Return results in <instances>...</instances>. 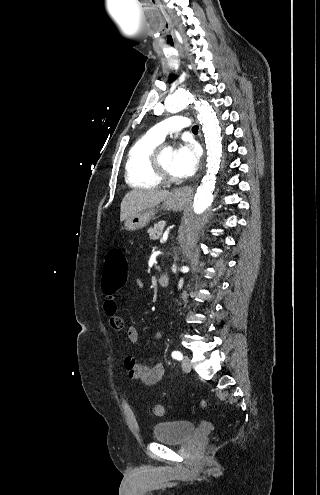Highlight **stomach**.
<instances>
[{
	"label": "stomach",
	"mask_w": 320,
	"mask_h": 495,
	"mask_svg": "<svg viewBox=\"0 0 320 495\" xmlns=\"http://www.w3.org/2000/svg\"><path fill=\"white\" fill-rule=\"evenodd\" d=\"M187 206V202L184 198L176 191L171 193L163 201L160 209H165L168 211H181ZM159 208V206H157ZM157 208L152 207L139 212H136L125 220V228L128 231H137L146 227L149 222L155 217L157 213Z\"/></svg>",
	"instance_id": "stomach-1"
}]
</instances>
